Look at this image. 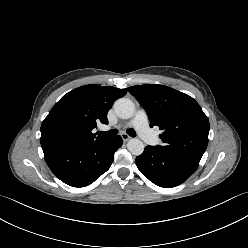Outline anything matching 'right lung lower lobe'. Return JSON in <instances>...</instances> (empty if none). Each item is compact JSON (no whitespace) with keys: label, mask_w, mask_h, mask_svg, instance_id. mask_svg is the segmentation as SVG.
Returning a JSON list of instances; mask_svg holds the SVG:
<instances>
[{"label":"right lung lower lobe","mask_w":248,"mask_h":248,"mask_svg":"<svg viewBox=\"0 0 248 248\" xmlns=\"http://www.w3.org/2000/svg\"><path fill=\"white\" fill-rule=\"evenodd\" d=\"M121 145V136H116L91 145L50 147L43 152L57 178L72 187H85L110 168L114 153Z\"/></svg>","instance_id":"1"}]
</instances>
